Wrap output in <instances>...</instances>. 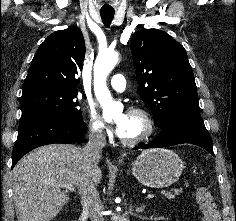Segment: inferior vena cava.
<instances>
[{
	"label": "inferior vena cava",
	"mask_w": 236,
	"mask_h": 221,
	"mask_svg": "<svg viewBox=\"0 0 236 221\" xmlns=\"http://www.w3.org/2000/svg\"><path fill=\"white\" fill-rule=\"evenodd\" d=\"M105 145L106 137L103 132L93 128L90 129L89 141L82 149L84 162L87 166L94 167L98 165ZM97 184L96 181L91 179L80 193L83 212L88 214L90 221H104Z\"/></svg>",
	"instance_id": "inferior-vena-cava-1"
}]
</instances>
